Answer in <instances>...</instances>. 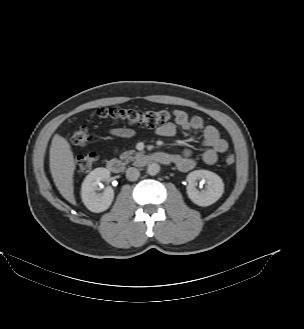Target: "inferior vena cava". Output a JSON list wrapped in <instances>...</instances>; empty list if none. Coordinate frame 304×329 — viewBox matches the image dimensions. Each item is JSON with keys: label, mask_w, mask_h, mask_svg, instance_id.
<instances>
[{"label": "inferior vena cava", "mask_w": 304, "mask_h": 329, "mask_svg": "<svg viewBox=\"0 0 304 329\" xmlns=\"http://www.w3.org/2000/svg\"><path fill=\"white\" fill-rule=\"evenodd\" d=\"M140 176V172L135 167H130L126 170V177L130 181H136Z\"/></svg>", "instance_id": "obj_1"}]
</instances>
